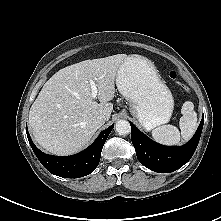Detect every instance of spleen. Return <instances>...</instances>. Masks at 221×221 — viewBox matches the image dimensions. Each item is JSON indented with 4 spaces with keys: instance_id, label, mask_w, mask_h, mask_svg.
I'll use <instances>...</instances> for the list:
<instances>
[{
    "instance_id": "spleen-1",
    "label": "spleen",
    "mask_w": 221,
    "mask_h": 221,
    "mask_svg": "<svg viewBox=\"0 0 221 221\" xmlns=\"http://www.w3.org/2000/svg\"><path fill=\"white\" fill-rule=\"evenodd\" d=\"M181 113L183 116L179 121L180 131L173 125H163L152 131L153 139L165 145H177L189 140L197 128V114L193 103L186 101Z\"/></svg>"
}]
</instances>
